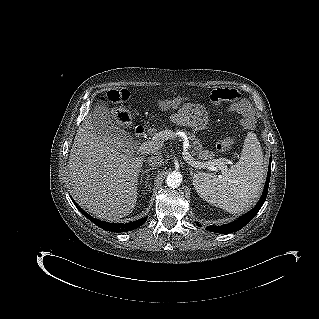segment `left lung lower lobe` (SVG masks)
Listing matches in <instances>:
<instances>
[{"label":"left lung lower lobe","mask_w":319,"mask_h":319,"mask_svg":"<svg viewBox=\"0 0 319 319\" xmlns=\"http://www.w3.org/2000/svg\"><path fill=\"white\" fill-rule=\"evenodd\" d=\"M270 172H271V158H270V162H269L268 175H267L266 184L264 187L262 197L259 200V202L257 203V205L252 210H250L248 213L241 216L240 218H238L236 221H234L232 223L225 224L222 226H208V227H206V229L211 231V232L225 233L226 234V233L236 232V231L242 229L246 224H248L252 220V218L258 213V211L260 210V208L262 207V205L265 202V199L267 196V191H268V186H269V181H270ZM197 225L201 226L198 223H197Z\"/></svg>","instance_id":"0a47b994"}]
</instances>
